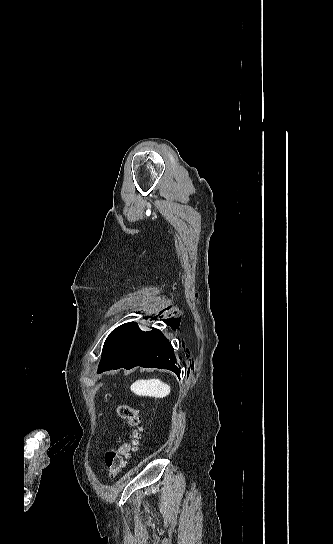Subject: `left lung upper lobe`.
<instances>
[{"instance_id":"5c2ea615","label":"left lung upper lobe","mask_w":333,"mask_h":544,"mask_svg":"<svg viewBox=\"0 0 333 544\" xmlns=\"http://www.w3.org/2000/svg\"><path fill=\"white\" fill-rule=\"evenodd\" d=\"M106 354H107V348H105V347H104V349H103V353H102V359H101V362H100V363H102V362H103V360H104V359H105V357H106Z\"/></svg>"}]
</instances>
